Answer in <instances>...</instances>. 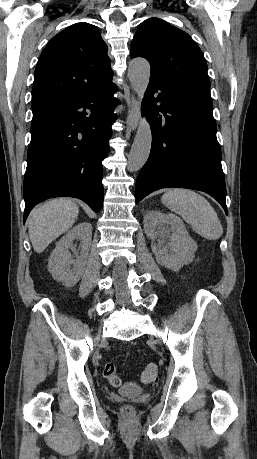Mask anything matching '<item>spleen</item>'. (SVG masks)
<instances>
[{"mask_svg": "<svg viewBox=\"0 0 257 459\" xmlns=\"http://www.w3.org/2000/svg\"><path fill=\"white\" fill-rule=\"evenodd\" d=\"M162 203L180 215L193 230L208 240H217L223 234L221 222L211 204L200 194L188 189H170L161 198Z\"/></svg>", "mask_w": 257, "mask_h": 459, "instance_id": "spleen-1", "label": "spleen"}]
</instances>
